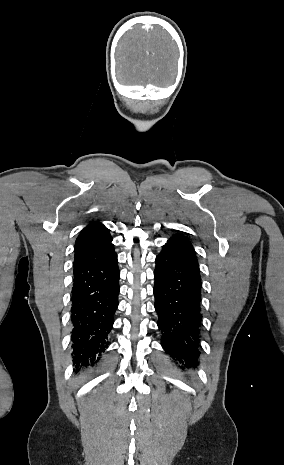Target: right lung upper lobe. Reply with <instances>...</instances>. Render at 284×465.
I'll list each match as a JSON object with an SVG mask.
<instances>
[{"instance_id":"1","label":"right lung upper lobe","mask_w":284,"mask_h":465,"mask_svg":"<svg viewBox=\"0 0 284 465\" xmlns=\"http://www.w3.org/2000/svg\"><path fill=\"white\" fill-rule=\"evenodd\" d=\"M111 238L108 229L97 221L90 222L79 234L75 242V259L97 248Z\"/></svg>"}]
</instances>
